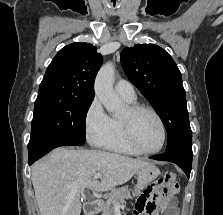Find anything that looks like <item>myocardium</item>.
I'll return each mask as SVG.
<instances>
[{
    "label": "myocardium",
    "mask_w": 223,
    "mask_h": 215,
    "mask_svg": "<svg viewBox=\"0 0 223 215\" xmlns=\"http://www.w3.org/2000/svg\"><path fill=\"white\" fill-rule=\"evenodd\" d=\"M142 112H147L151 114L157 121L159 129H160V134H161L160 143L158 147L152 151L139 150L133 139V133H132L133 120L138 114ZM121 125L123 129L124 140L126 144L128 145V147L134 152V154L140 155V156H148V155L157 154L162 150L165 144V140H166L165 126L162 119L158 115V113L151 107L147 105H143V104H134V105L129 106L126 109L125 115L121 117Z\"/></svg>",
    "instance_id": "1"
}]
</instances>
